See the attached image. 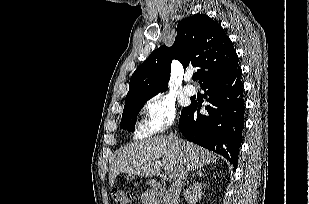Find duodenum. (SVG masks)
<instances>
[{
  "label": "duodenum",
  "mask_w": 309,
  "mask_h": 204,
  "mask_svg": "<svg viewBox=\"0 0 309 204\" xmlns=\"http://www.w3.org/2000/svg\"><path fill=\"white\" fill-rule=\"evenodd\" d=\"M151 191L149 193L151 204H166L168 192L163 184L157 180H150Z\"/></svg>",
  "instance_id": "obj_1"
}]
</instances>
